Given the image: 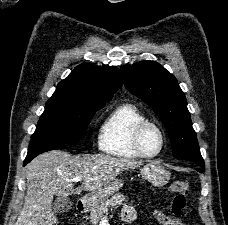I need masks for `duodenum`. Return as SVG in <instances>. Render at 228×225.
I'll list each match as a JSON object with an SVG mask.
<instances>
[{
    "label": "duodenum",
    "instance_id": "duodenum-1",
    "mask_svg": "<svg viewBox=\"0 0 228 225\" xmlns=\"http://www.w3.org/2000/svg\"><path fill=\"white\" fill-rule=\"evenodd\" d=\"M92 197L91 196H86L84 198H81L78 200L76 204V209L78 212L83 213L91 204Z\"/></svg>",
    "mask_w": 228,
    "mask_h": 225
}]
</instances>
